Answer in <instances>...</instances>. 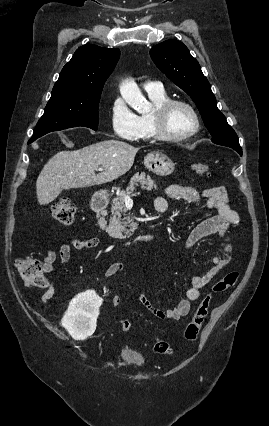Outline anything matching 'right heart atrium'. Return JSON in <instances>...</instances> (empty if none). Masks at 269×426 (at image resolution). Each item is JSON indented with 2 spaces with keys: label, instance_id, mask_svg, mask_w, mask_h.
I'll use <instances>...</instances> for the list:
<instances>
[{
  "label": "right heart atrium",
  "instance_id": "right-heart-atrium-1",
  "mask_svg": "<svg viewBox=\"0 0 269 426\" xmlns=\"http://www.w3.org/2000/svg\"><path fill=\"white\" fill-rule=\"evenodd\" d=\"M109 120L112 132L117 137L129 141L138 139L140 135L138 116L119 96L111 101Z\"/></svg>",
  "mask_w": 269,
  "mask_h": 426
}]
</instances>
